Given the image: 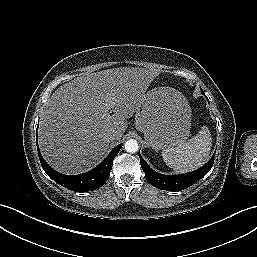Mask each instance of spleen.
Returning <instances> with one entry per match:
<instances>
[{
    "label": "spleen",
    "mask_w": 257,
    "mask_h": 257,
    "mask_svg": "<svg viewBox=\"0 0 257 257\" xmlns=\"http://www.w3.org/2000/svg\"><path fill=\"white\" fill-rule=\"evenodd\" d=\"M212 145L209 129L201 127L198 134L187 142L163 150L162 157L167 166L177 173L198 169L208 160Z\"/></svg>",
    "instance_id": "1"
}]
</instances>
